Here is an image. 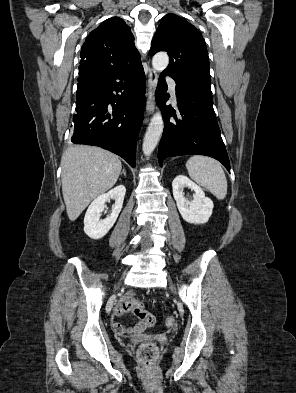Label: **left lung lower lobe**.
Returning a JSON list of instances; mask_svg holds the SVG:
<instances>
[{
  "mask_svg": "<svg viewBox=\"0 0 296 393\" xmlns=\"http://www.w3.org/2000/svg\"><path fill=\"white\" fill-rule=\"evenodd\" d=\"M160 75L156 90V101L162 107L164 131L158 149V160L162 167L167 157L180 155H206L220 161L230 172V162L213 109L211 88L176 86L178 110L166 106L167 84ZM171 109V110H170ZM173 116L174 120L170 117Z\"/></svg>",
  "mask_w": 296,
  "mask_h": 393,
  "instance_id": "1",
  "label": "left lung lower lobe"
}]
</instances>
